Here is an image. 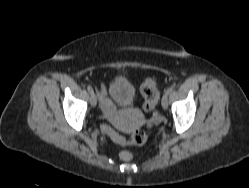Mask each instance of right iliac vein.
Wrapping results in <instances>:
<instances>
[{"label":"right iliac vein","instance_id":"1","mask_svg":"<svg viewBox=\"0 0 249 188\" xmlns=\"http://www.w3.org/2000/svg\"><path fill=\"white\" fill-rule=\"evenodd\" d=\"M90 103H91L92 107H95L96 104H97V96H96V94L94 92L91 93Z\"/></svg>","mask_w":249,"mask_h":188}]
</instances>
